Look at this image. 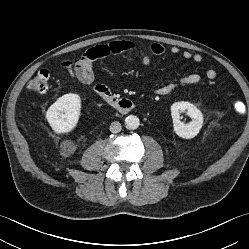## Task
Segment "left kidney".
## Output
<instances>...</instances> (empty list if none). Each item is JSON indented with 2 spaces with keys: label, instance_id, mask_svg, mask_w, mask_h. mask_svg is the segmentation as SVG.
Masks as SVG:
<instances>
[{
  "label": "left kidney",
  "instance_id": "1",
  "mask_svg": "<svg viewBox=\"0 0 249 249\" xmlns=\"http://www.w3.org/2000/svg\"><path fill=\"white\" fill-rule=\"evenodd\" d=\"M187 112L192 121L184 124L180 121V113ZM174 132L181 138L192 139L200 132L203 125V114L193 104L186 101L175 102L171 105Z\"/></svg>",
  "mask_w": 249,
  "mask_h": 249
}]
</instances>
